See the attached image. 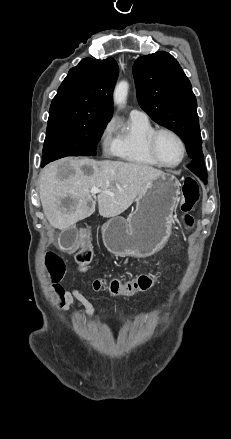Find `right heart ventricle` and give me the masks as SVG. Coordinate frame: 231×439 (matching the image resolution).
<instances>
[{
  "label": "right heart ventricle",
  "mask_w": 231,
  "mask_h": 439,
  "mask_svg": "<svg viewBox=\"0 0 231 439\" xmlns=\"http://www.w3.org/2000/svg\"><path fill=\"white\" fill-rule=\"evenodd\" d=\"M154 129L155 127L148 118L130 115L126 122L117 126L112 154L136 166L158 167L146 148V139Z\"/></svg>",
  "instance_id": "1"
}]
</instances>
